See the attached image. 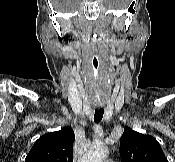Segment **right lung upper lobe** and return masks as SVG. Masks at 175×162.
<instances>
[{
    "label": "right lung upper lobe",
    "mask_w": 175,
    "mask_h": 162,
    "mask_svg": "<svg viewBox=\"0 0 175 162\" xmlns=\"http://www.w3.org/2000/svg\"><path fill=\"white\" fill-rule=\"evenodd\" d=\"M74 141L71 127L46 133L34 143L25 162H73Z\"/></svg>",
    "instance_id": "obj_1"
}]
</instances>
